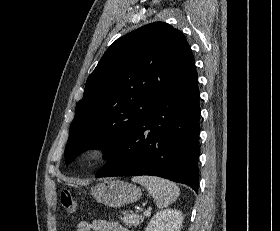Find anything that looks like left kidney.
<instances>
[{
    "instance_id": "left-kidney-1",
    "label": "left kidney",
    "mask_w": 280,
    "mask_h": 231,
    "mask_svg": "<svg viewBox=\"0 0 280 231\" xmlns=\"http://www.w3.org/2000/svg\"><path fill=\"white\" fill-rule=\"evenodd\" d=\"M183 219L180 209H162L153 215L145 231H180Z\"/></svg>"
}]
</instances>
